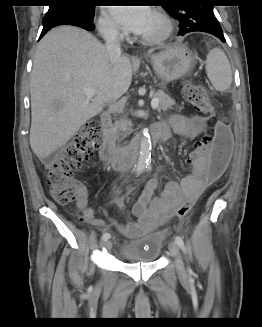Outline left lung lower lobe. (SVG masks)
Listing matches in <instances>:
<instances>
[{"instance_id":"obj_1","label":"left lung lower lobe","mask_w":262,"mask_h":327,"mask_svg":"<svg viewBox=\"0 0 262 327\" xmlns=\"http://www.w3.org/2000/svg\"><path fill=\"white\" fill-rule=\"evenodd\" d=\"M216 37L219 38L223 43L226 42V40H225V38H224L223 35H221V36H217V35H216Z\"/></svg>"}]
</instances>
